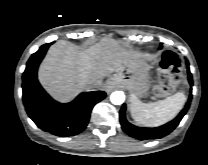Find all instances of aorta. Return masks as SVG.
<instances>
[{
	"label": "aorta",
	"instance_id": "obj_1",
	"mask_svg": "<svg viewBox=\"0 0 208 165\" xmlns=\"http://www.w3.org/2000/svg\"><path fill=\"white\" fill-rule=\"evenodd\" d=\"M110 100L114 105H121L125 101V94L122 91H115L111 94Z\"/></svg>",
	"mask_w": 208,
	"mask_h": 165
}]
</instances>
